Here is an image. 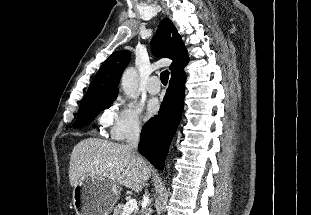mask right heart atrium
<instances>
[{"label": "right heart atrium", "mask_w": 311, "mask_h": 215, "mask_svg": "<svg viewBox=\"0 0 311 215\" xmlns=\"http://www.w3.org/2000/svg\"><path fill=\"white\" fill-rule=\"evenodd\" d=\"M102 127L108 129V136L115 141L138 138L144 121L141 108L134 102L118 98L100 117Z\"/></svg>", "instance_id": "right-heart-atrium-1"}]
</instances>
